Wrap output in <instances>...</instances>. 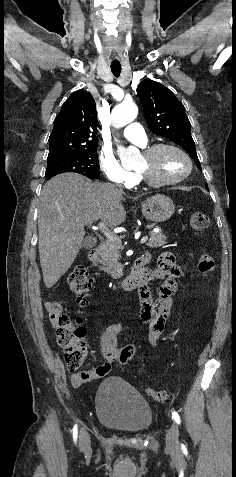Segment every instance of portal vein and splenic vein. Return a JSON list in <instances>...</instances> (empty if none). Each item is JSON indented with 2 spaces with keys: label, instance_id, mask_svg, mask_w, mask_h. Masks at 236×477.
<instances>
[{
  "label": "portal vein and splenic vein",
  "instance_id": "18ae733b",
  "mask_svg": "<svg viewBox=\"0 0 236 477\" xmlns=\"http://www.w3.org/2000/svg\"><path fill=\"white\" fill-rule=\"evenodd\" d=\"M93 228H96V229L100 230L106 236V238L110 241H119L120 240L119 237L115 233L110 231L104 223H99L97 226H94ZM147 240H148V236H144V237L141 238L140 243H142V244L146 243Z\"/></svg>",
  "mask_w": 236,
  "mask_h": 477
}]
</instances>
